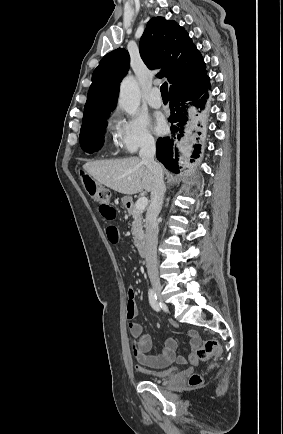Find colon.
<instances>
[{
  "instance_id": "5ec220e1",
  "label": "colon",
  "mask_w": 283,
  "mask_h": 434,
  "mask_svg": "<svg viewBox=\"0 0 283 434\" xmlns=\"http://www.w3.org/2000/svg\"><path fill=\"white\" fill-rule=\"evenodd\" d=\"M83 183L90 197L100 205L109 204L111 201L110 191L103 185L94 181L88 175L83 176ZM221 353L220 346L216 340H206L196 351L199 360H209L218 357ZM189 383L191 386H198L202 383V377L193 374Z\"/></svg>"
}]
</instances>
